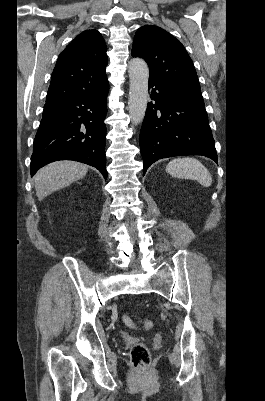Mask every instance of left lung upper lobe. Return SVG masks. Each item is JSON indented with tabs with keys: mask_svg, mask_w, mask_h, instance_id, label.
<instances>
[{
	"mask_svg": "<svg viewBox=\"0 0 265 401\" xmlns=\"http://www.w3.org/2000/svg\"><path fill=\"white\" fill-rule=\"evenodd\" d=\"M133 57L143 58L149 66V80L159 85L200 90L191 58L184 46L170 33L154 25L137 30Z\"/></svg>",
	"mask_w": 265,
	"mask_h": 401,
	"instance_id": "1",
	"label": "left lung upper lobe"
}]
</instances>
